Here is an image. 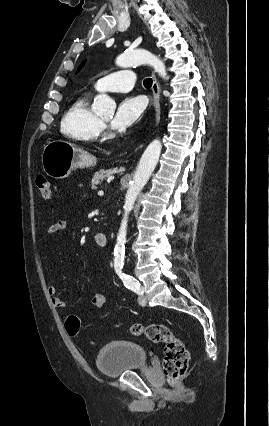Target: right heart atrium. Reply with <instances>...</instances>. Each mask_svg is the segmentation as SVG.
<instances>
[{"label":"right heart atrium","mask_w":269,"mask_h":426,"mask_svg":"<svg viewBox=\"0 0 269 426\" xmlns=\"http://www.w3.org/2000/svg\"><path fill=\"white\" fill-rule=\"evenodd\" d=\"M105 129H106V127H105V125H101V132H104L105 131Z\"/></svg>","instance_id":"1"}]
</instances>
